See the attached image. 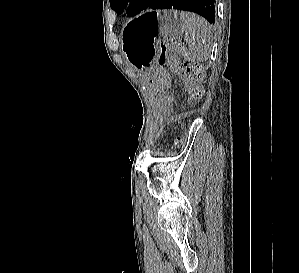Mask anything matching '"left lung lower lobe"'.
<instances>
[{
  "label": "left lung lower lobe",
  "mask_w": 299,
  "mask_h": 273,
  "mask_svg": "<svg viewBox=\"0 0 299 273\" xmlns=\"http://www.w3.org/2000/svg\"><path fill=\"white\" fill-rule=\"evenodd\" d=\"M215 0H151L148 7L152 9L174 8L197 13L211 24L215 18Z\"/></svg>",
  "instance_id": "0a47b994"
}]
</instances>
